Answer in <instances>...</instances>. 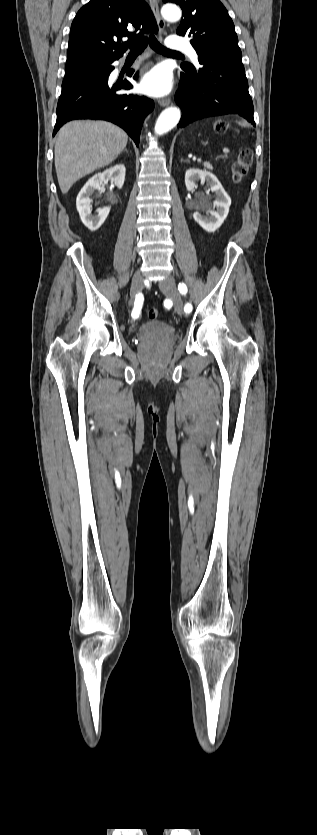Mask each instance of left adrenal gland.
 Here are the masks:
<instances>
[{"label":"left adrenal gland","instance_id":"a2214340","mask_svg":"<svg viewBox=\"0 0 317 835\" xmlns=\"http://www.w3.org/2000/svg\"><path fill=\"white\" fill-rule=\"evenodd\" d=\"M181 162H189V160H183V159H181Z\"/></svg>","mask_w":317,"mask_h":835}]
</instances>
